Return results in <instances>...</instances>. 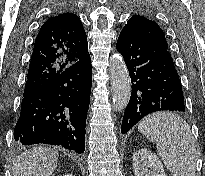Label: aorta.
Segmentation results:
<instances>
[{
	"mask_svg": "<svg viewBox=\"0 0 205 176\" xmlns=\"http://www.w3.org/2000/svg\"><path fill=\"white\" fill-rule=\"evenodd\" d=\"M110 78L112 85V102L115 111H122L131 96V82L122 56L118 53L110 58Z\"/></svg>",
	"mask_w": 205,
	"mask_h": 176,
	"instance_id": "obj_1",
	"label": "aorta"
}]
</instances>
